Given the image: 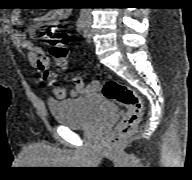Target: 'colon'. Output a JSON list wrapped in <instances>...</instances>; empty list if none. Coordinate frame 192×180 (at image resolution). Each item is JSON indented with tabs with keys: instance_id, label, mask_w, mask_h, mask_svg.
I'll return each instance as SVG.
<instances>
[{
	"instance_id": "obj_1",
	"label": "colon",
	"mask_w": 192,
	"mask_h": 180,
	"mask_svg": "<svg viewBox=\"0 0 192 180\" xmlns=\"http://www.w3.org/2000/svg\"><path fill=\"white\" fill-rule=\"evenodd\" d=\"M43 32V36L51 45L50 55L59 65L66 66L68 59L66 45L69 42L67 35L53 25H47ZM102 94L126 108L123 117L113 131L112 141H117L131 132L139 123L143 113L142 101L133 89L115 80L104 82Z\"/></svg>"
}]
</instances>
